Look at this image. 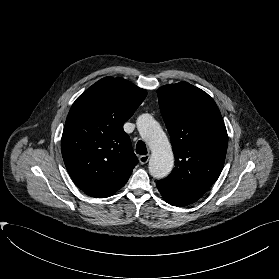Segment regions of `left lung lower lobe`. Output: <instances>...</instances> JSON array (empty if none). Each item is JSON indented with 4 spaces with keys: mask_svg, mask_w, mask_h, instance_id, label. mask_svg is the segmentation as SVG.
I'll use <instances>...</instances> for the list:
<instances>
[{
    "mask_svg": "<svg viewBox=\"0 0 279 279\" xmlns=\"http://www.w3.org/2000/svg\"><path fill=\"white\" fill-rule=\"evenodd\" d=\"M157 188L164 200L173 206H186L200 198L197 195L177 190L163 181L157 182Z\"/></svg>",
    "mask_w": 279,
    "mask_h": 279,
    "instance_id": "left-lung-lower-lobe-1",
    "label": "left lung lower lobe"
}]
</instances>
